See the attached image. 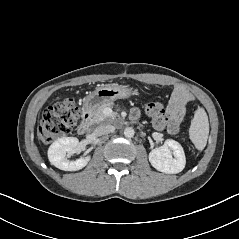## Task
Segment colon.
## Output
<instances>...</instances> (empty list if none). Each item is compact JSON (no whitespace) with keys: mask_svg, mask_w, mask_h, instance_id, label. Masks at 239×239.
<instances>
[{"mask_svg":"<svg viewBox=\"0 0 239 239\" xmlns=\"http://www.w3.org/2000/svg\"><path fill=\"white\" fill-rule=\"evenodd\" d=\"M147 119L154 130L169 132L167 114L160 103L146 105ZM79 120V111L72 99H65L48 107L42 115L38 127V136L45 143L71 132Z\"/></svg>","mask_w":239,"mask_h":239,"instance_id":"colon-1","label":"colon"}]
</instances>
